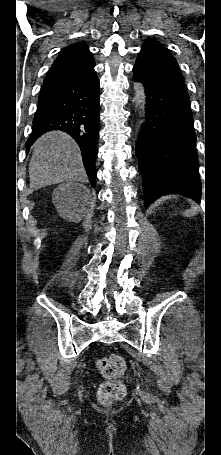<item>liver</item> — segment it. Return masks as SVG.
Returning a JSON list of instances; mask_svg holds the SVG:
<instances>
[{
	"mask_svg": "<svg viewBox=\"0 0 221 455\" xmlns=\"http://www.w3.org/2000/svg\"><path fill=\"white\" fill-rule=\"evenodd\" d=\"M31 191L67 181H83L86 174L76 142L62 131L42 135L33 146L29 163Z\"/></svg>",
	"mask_w": 221,
	"mask_h": 455,
	"instance_id": "obj_1",
	"label": "liver"
}]
</instances>
